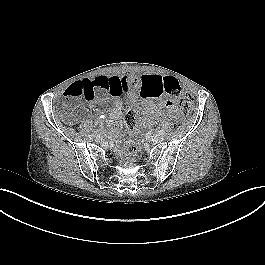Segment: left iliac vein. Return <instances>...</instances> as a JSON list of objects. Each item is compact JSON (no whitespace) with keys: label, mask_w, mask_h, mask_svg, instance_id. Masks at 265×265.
I'll use <instances>...</instances> for the list:
<instances>
[{"label":"left iliac vein","mask_w":265,"mask_h":265,"mask_svg":"<svg viewBox=\"0 0 265 265\" xmlns=\"http://www.w3.org/2000/svg\"><path fill=\"white\" fill-rule=\"evenodd\" d=\"M163 140H164V137L162 135L156 134L152 137V141L155 143H161Z\"/></svg>","instance_id":"1"}]
</instances>
